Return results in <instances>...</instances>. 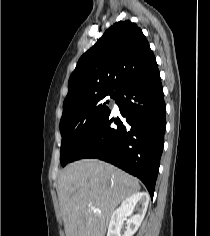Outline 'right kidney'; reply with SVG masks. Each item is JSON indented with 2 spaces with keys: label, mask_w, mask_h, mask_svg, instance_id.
I'll use <instances>...</instances> for the list:
<instances>
[{
  "label": "right kidney",
  "mask_w": 210,
  "mask_h": 236,
  "mask_svg": "<svg viewBox=\"0 0 210 236\" xmlns=\"http://www.w3.org/2000/svg\"><path fill=\"white\" fill-rule=\"evenodd\" d=\"M149 199V195L145 192H138L126 198L121 206L113 212L107 236H120L122 222L126 217L130 218L127 220L126 232L123 236H133L144 219ZM135 206L138 208L137 212L133 214Z\"/></svg>",
  "instance_id": "1"
}]
</instances>
